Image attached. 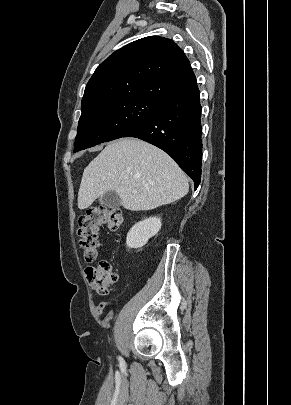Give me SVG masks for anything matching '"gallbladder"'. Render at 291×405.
<instances>
[{
	"label": "gallbladder",
	"instance_id": "1",
	"mask_svg": "<svg viewBox=\"0 0 291 405\" xmlns=\"http://www.w3.org/2000/svg\"><path fill=\"white\" fill-rule=\"evenodd\" d=\"M99 202L102 206L117 209L121 206L120 197L116 192L109 191L106 194L100 196Z\"/></svg>",
	"mask_w": 291,
	"mask_h": 405
}]
</instances>
